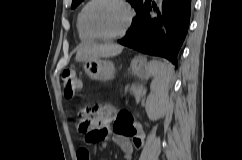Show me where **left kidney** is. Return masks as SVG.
<instances>
[{"instance_id": "1", "label": "left kidney", "mask_w": 242, "mask_h": 160, "mask_svg": "<svg viewBox=\"0 0 242 160\" xmlns=\"http://www.w3.org/2000/svg\"><path fill=\"white\" fill-rule=\"evenodd\" d=\"M146 112L151 121H156L164 116L166 108L165 106L158 105L155 102H147Z\"/></svg>"}]
</instances>
